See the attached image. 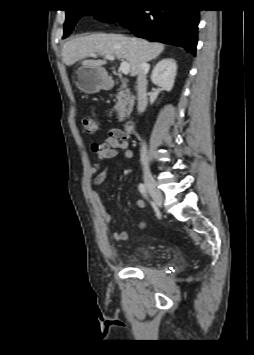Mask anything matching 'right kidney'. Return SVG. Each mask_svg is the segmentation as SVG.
Listing matches in <instances>:
<instances>
[{
    "mask_svg": "<svg viewBox=\"0 0 254 355\" xmlns=\"http://www.w3.org/2000/svg\"><path fill=\"white\" fill-rule=\"evenodd\" d=\"M177 72V63L172 58H165L159 61L151 74V81L166 91L173 88Z\"/></svg>",
    "mask_w": 254,
    "mask_h": 355,
    "instance_id": "obj_1",
    "label": "right kidney"
}]
</instances>
